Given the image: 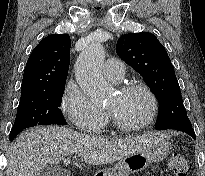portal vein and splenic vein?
I'll list each match as a JSON object with an SVG mask.
<instances>
[{
    "instance_id": "portal-vein-and-splenic-vein-1",
    "label": "portal vein and splenic vein",
    "mask_w": 205,
    "mask_h": 176,
    "mask_svg": "<svg viewBox=\"0 0 205 176\" xmlns=\"http://www.w3.org/2000/svg\"><path fill=\"white\" fill-rule=\"evenodd\" d=\"M69 163H70V159H69V158H67V159L64 160V164H65V165H68Z\"/></svg>"
}]
</instances>
